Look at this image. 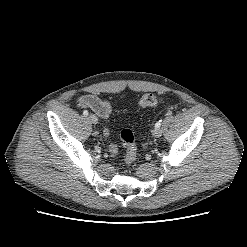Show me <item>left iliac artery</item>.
Instances as JSON below:
<instances>
[{"mask_svg":"<svg viewBox=\"0 0 247 247\" xmlns=\"http://www.w3.org/2000/svg\"><path fill=\"white\" fill-rule=\"evenodd\" d=\"M161 122L162 120H159L156 124H155V128H159L161 126Z\"/></svg>","mask_w":247,"mask_h":247,"instance_id":"left-iliac-artery-1","label":"left iliac artery"}]
</instances>
